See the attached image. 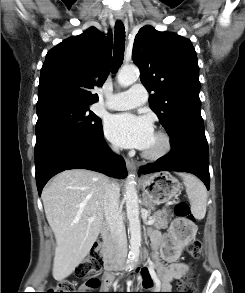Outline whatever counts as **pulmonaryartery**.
Instances as JSON below:
<instances>
[{"label": "pulmonary artery", "instance_id": "pulmonary-artery-1", "mask_svg": "<svg viewBox=\"0 0 245 293\" xmlns=\"http://www.w3.org/2000/svg\"><path fill=\"white\" fill-rule=\"evenodd\" d=\"M147 101V91L141 84H135L129 90L109 97L106 106L112 110H127L143 105Z\"/></svg>", "mask_w": 245, "mask_h": 293}]
</instances>
